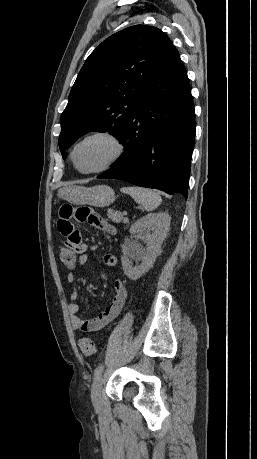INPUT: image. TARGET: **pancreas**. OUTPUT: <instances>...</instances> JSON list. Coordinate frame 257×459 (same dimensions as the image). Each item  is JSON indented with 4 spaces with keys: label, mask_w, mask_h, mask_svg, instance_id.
Wrapping results in <instances>:
<instances>
[{
    "label": "pancreas",
    "mask_w": 257,
    "mask_h": 459,
    "mask_svg": "<svg viewBox=\"0 0 257 459\" xmlns=\"http://www.w3.org/2000/svg\"><path fill=\"white\" fill-rule=\"evenodd\" d=\"M107 215L115 223H120L123 220V215L119 211L109 210Z\"/></svg>",
    "instance_id": "obj_1"
}]
</instances>
